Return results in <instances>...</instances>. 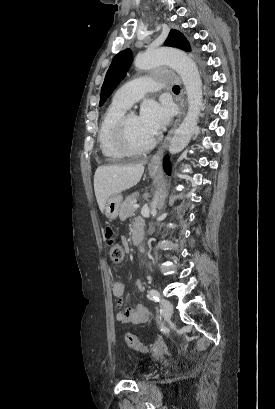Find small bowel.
<instances>
[{
  "instance_id": "small-bowel-1",
  "label": "small bowel",
  "mask_w": 275,
  "mask_h": 409,
  "mask_svg": "<svg viewBox=\"0 0 275 409\" xmlns=\"http://www.w3.org/2000/svg\"><path fill=\"white\" fill-rule=\"evenodd\" d=\"M142 288L143 283L141 281H137L133 287V289L136 291H140ZM113 293L119 300H122L126 293L125 285L120 281H115L113 284ZM118 319L122 323L143 324L149 319V311L143 304H136L134 306L122 309L118 313Z\"/></svg>"
}]
</instances>
